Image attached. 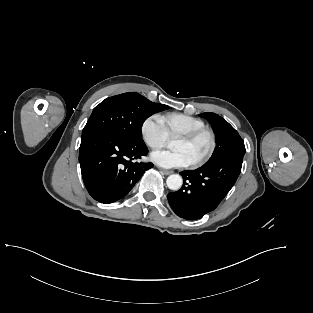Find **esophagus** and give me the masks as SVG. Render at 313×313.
I'll return each mask as SVG.
<instances>
[{"label":"esophagus","instance_id":"1","mask_svg":"<svg viewBox=\"0 0 313 313\" xmlns=\"http://www.w3.org/2000/svg\"><path fill=\"white\" fill-rule=\"evenodd\" d=\"M161 173L165 174V175H170L171 173H173V171L171 170H165V169H160Z\"/></svg>","mask_w":313,"mask_h":313}]
</instances>
